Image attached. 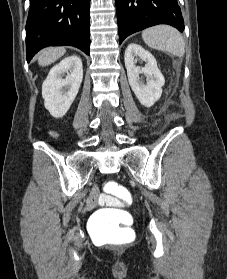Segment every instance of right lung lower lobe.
I'll return each instance as SVG.
<instances>
[{
  "instance_id": "98d812e1",
  "label": "right lung lower lobe",
  "mask_w": 227,
  "mask_h": 279,
  "mask_svg": "<svg viewBox=\"0 0 227 279\" xmlns=\"http://www.w3.org/2000/svg\"><path fill=\"white\" fill-rule=\"evenodd\" d=\"M69 45L89 55L90 0H30L27 61L42 48Z\"/></svg>"
}]
</instances>
